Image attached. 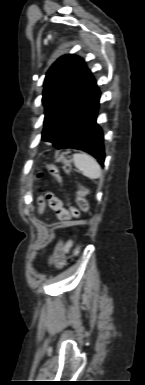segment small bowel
<instances>
[{"label": "small bowel", "instance_id": "c3829d8e", "mask_svg": "<svg viewBox=\"0 0 145 385\" xmlns=\"http://www.w3.org/2000/svg\"><path fill=\"white\" fill-rule=\"evenodd\" d=\"M46 202L48 203L49 207L56 213L58 218L56 226L58 228L68 226L73 218L78 217L73 216L70 209L66 208L63 202L52 192H48L45 197L38 198L37 203L39 213L43 212ZM71 245V240L59 241L56 244L52 254L49 256V263L56 267H62L65 264L66 254L68 253Z\"/></svg>", "mask_w": 145, "mask_h": 385}]
</instances>
